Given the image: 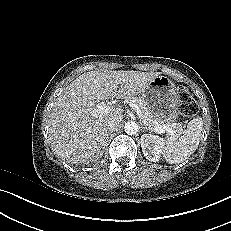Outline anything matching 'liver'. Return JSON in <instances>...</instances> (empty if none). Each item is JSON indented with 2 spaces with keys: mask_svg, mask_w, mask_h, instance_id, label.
I'll use <instances>...</instances> for the list:
<instances>
[{
  "mask_svg": "<svg viewBox=\"0 0 231 231\" xmlns=\"http://www.w3.org/2000/svg\"><path fill=\"white\" fill-rule=\"evenodd\" d=\"M159 72L95 70L72 81L58 97L48 127L51 149L70 163H88L102 154L110 119L122 120L120 108L93 114L96 102L140 96Z\"/></svg>",
  "mask_w": 231,
  "mask_h": 231,
  "instance_id": "liver-1",
  "label": "liver"
}]
</instances>
